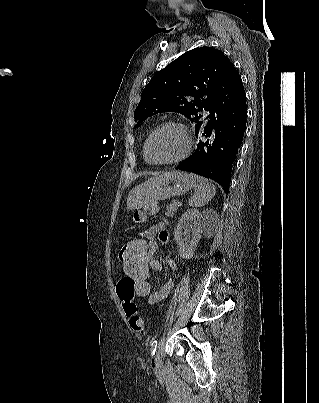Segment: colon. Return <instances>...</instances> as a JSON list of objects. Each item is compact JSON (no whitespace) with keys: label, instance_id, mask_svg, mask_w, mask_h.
Here are the masks:
<instances>
[{"label":"colon","instance_id":"5ec220e1","mask_svg":"<svg viewBox=\"0 0 319 403\" xmlns=\"http://www.w3.org/2000/svg\"><path fill=\"white\" fill-rule=\"evenodd\" d=\"M147 212L154 213L152 205H148ZM133 218L136 222H140L146 218V215L143 212H136ZM119 257L123 276L116 277V292L121 299L120 307L128 317L130 332L135 336L143 337L146 333L144 322L138 304L135 303L131 284H135V296H151V261L148 243L144 238H131L130 242H124V245L120 246Z\"/></svg>","mask_w":319,"mask_h":403}]
</instances>
